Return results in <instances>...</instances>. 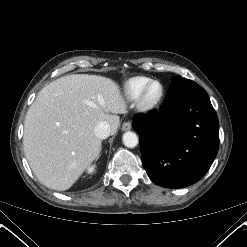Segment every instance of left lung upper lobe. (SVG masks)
Segmentation results:
<instances>
[{"label": "left lung upper lobe", "instance_id": "left-lung-upper-lobe-1", "mask_svg": "<svg viewBox=\"0 0 247 247\" xmlns=\"http://www.w3.org/2000/svg\"><path fill=\"white\" fill-rule=\"evenodd\" d=\"M172 82H173V84H181V85H186V84L193 83V81H191L189 79H186V78H182L181 76L174 77L172 79Z\"/></svg>", "mask_w": 247, "mask_h": 247}]
</instances>
